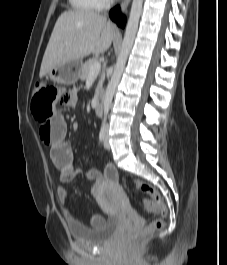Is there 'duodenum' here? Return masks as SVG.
<instances>
[{"mask_svg": "<svg viewBox=\"0 0 227 265\" xmlns=\"http://www.w3.org/2000/svg\"><path fill=\"white\" fill-rule=\"evenodd\" d=\"M94 112L97 116H102V113H103V101H102V97L101 96H98L96 99H95V102H94Z\"/></svg>", "mask_w": 227, "mask_h": 265, "instance_id": "obj_1", "label": "duodenum"}]
</instances>
